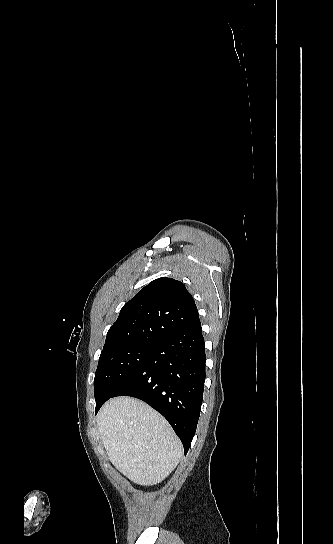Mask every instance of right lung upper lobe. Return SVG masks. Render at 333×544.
Wrapping results in <instances>:
<instances>
[{
    "label": "right lung upper lobe",
    "mask_w": 333,
    "mask_h": 544,
    "mask_svg": "<svg viewBox=\"0 0 333 544\" xmlns=\"http://www.w3.org/2000/svg\"><path fill=\"white\" fill-rule=\"evenodd\" d=\"M199 323L195 301L184 284L172 278H158L122 307L107 333L102 352L131 344L155 343Z\"/></svg>",
    "instance_id": "obj_1"
}]
</instances>
